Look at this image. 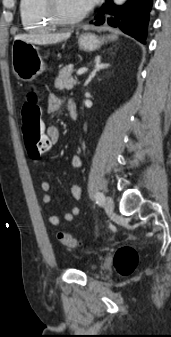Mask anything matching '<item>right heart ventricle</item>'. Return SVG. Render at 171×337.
<instances>
[{
    "instance_id": "right-heart-ventricle-1",
    "label": "right heart ventricle",
    "mask_w": 171,
    "mask_h": 337,
    "mask_svg": "<svg viewBox=\"0 0 171 337\" xmlns=\"http://www.w3.org/2000/svg\"><path fill=\"white\" fill-rule=\"evenodd\" d=\"M19 9L26 30H46L56 25L47 13L45 0H20Z\"/></svg>"
}]
</instances>
